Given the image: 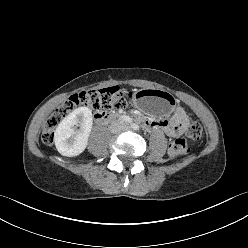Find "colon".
I'll use <instances>...</instances> for the list:
<instances>
[{"mask_svg": "<svg viewBox=\"0 0 248 248\" xmlns=\"http://www.w3.org/2000/svg\"><path fill=\"white\" fill-rule=\"evenodd\" d=\"M134 94L125 89L114 86L100 90L82 91L71 95L48 117L42 130V141L51 145L54 141L56 127L73 112L78 106H89L94 110L108 112L113 109H126L129 107ZM186 135L191 140H198L202 135V126L197 121H192L186 130ZM190 152L185 138H178L170 143L168 155L171 159L183 156Z\"/></svg>", "mask_w": 248, "mask_h": 248, "instance_id": "obj_1", "label": "colon"}]
</instances>
